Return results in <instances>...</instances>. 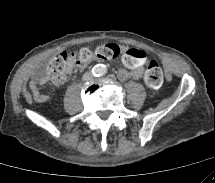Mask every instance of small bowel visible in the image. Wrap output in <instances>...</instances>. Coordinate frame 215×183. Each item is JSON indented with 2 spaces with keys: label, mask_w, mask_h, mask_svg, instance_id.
<instances>
[{
  "label": "small bowel",
  "mask_w": 215,
  "mask_h": 183,
  "mask_svg": "<svg viewBox=\"0 0 215 183\" xmlns=\"http://www.w3.org/2000/svg\"><path fill=\"white\" fill-rule=\"evenodd\" d=\"M124 50L120 55V62L123 68L119 69L118 77L120 80H126L128 78L139 79L143 74L144 63L148 59V52L145 48L139 47L137 45H130L126 48L123 46ZM75 66V63L69 65L67 73L70 74ZM66 76L59 78L52 76L48 71L41 72L35 75L30 83L29 89L32 97L37 102H45L48 97L47 95L41 93L39 88L47 82L58 86L65 82Z\"/></svg>",
  "instance_id": "small-bowel-1"
}]
</instances>
